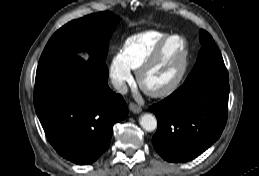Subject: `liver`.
Masks as SVG:
<instances>
[{
	"mask_svg": "<svg viewBox=\"0 0 259 176\" xmlns=\"http://www.w3.org/2000/svg\"><path fill=\"white\" fill-rule=\"evenodd\" d=\"M80 56H82L83 58L87 59L88 55L87 54H80Z\"/></svg>",
	"mask_w": 259,
	"mask_h": 176,
	"instance_id": "liver-1",
	"label": "liver"
}]
</instances>
